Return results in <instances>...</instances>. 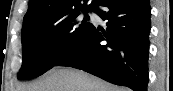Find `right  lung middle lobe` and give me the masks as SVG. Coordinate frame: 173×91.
Wrapping results in <instances>:
<instances>
[{
  "label": "right lung middle lobe",
  "mask_w": 173,
  "mask_h": 91,
  "mask_svg": "<svg viewBox=\"0 0 173 91\" xmlns=\"http://www.w3.org/2000/svg\"><path fill=\"white\" fill-rule=\"evenodd\" d=\"M91 8L22 28L23 60L18 79L42 75L73 50L92 26L87 14L81 16Z\"/></svg>",
  "instance_id": "right-lung-middle-lobe-1"
}]
</instances>
